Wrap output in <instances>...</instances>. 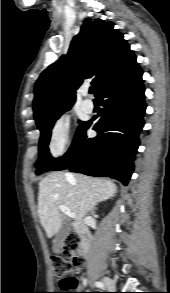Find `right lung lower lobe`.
I'll use <instances>...</instances> for the list:
<instances>
[{
	"label": "right lung lower lobe",
	"instance_id": "1",
	"mask_svg": "<svg viewBox=\"0 0 170 293\" xmlns=\"http://www.w3.org/2000/svg\"><path fill=\"white\" fill-rule=\"evenodd\" d=\"M144 91L139 66L104 85L96 96L104 107L99 114L101 118L93 126L98 135L88 138L86 130L94 119L84 122L69 151L51 170L69 169L90 176L111 177L127 185L144 125Z\"/></svg>",
	"mask_w": 170,
	"mask_h": 293
}]
</instances>
